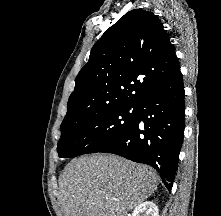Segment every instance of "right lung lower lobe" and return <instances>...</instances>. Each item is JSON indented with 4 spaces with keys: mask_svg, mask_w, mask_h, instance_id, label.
I'll list each match as a JSON object with an SVG mask.
<instances>
[{
    "mask_svg": "<svg viewBox=\"0 0 221 216\" xmlns=\"http://www.w3.org/2000/svg\"><path fill=\"white\" fill-rule=\"evenodd\" d=\"M184 97L179 71L137 105L134 124L99 152L152 166L171 191L184 135Z\"/></svg>",
    "mask_w": 221,
    "mask_h": 216,
    "instance_id": "98d812e1",
    "label": "right lung lower lobe"
}]
</instances>
